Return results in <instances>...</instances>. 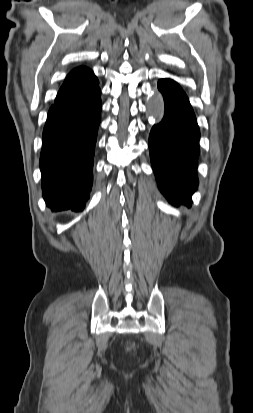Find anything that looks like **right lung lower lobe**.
Instances as JSON below:
<instances>
[{
	"instance_id": "right-lung-lower-lobe-1",
	"label": "right lung lower lobe",
	"mask_w": 253,
	"mask_h": 413,
	"mask_svg": "<svg viewBox=\"0 0 253 413\" xmlns=\"http://www.w3.org/2000/svg\"><path fill=\"white\" fill-rule=\"evenodd\" d=\"M101 90H90L49 109L40 155L42 191L53 211H82L92 187L101 120Z\"/></svg>"
}]
</instances>
